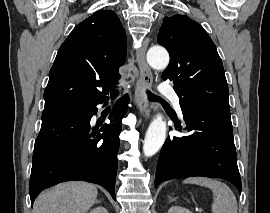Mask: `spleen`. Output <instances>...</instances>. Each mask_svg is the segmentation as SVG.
Masks as SVG:
<instances>
[{
	"instance_id": "spleen-1",
	"label": "spleen",
	"mask_w": 270,
	"mask_h": 213,
	"mask_svg": "<svg viewBox=\"0 0 270 213\" xmlns=\"http://www.w3.org/2000/svg\"><path fill=\"white\" fill-rule=\"evenodd\" d=\"M183 183L205 186L213 191L212 213H237L236 197L226 184L205 177L186 178Z\"/></svg>"
}]
</instances>
